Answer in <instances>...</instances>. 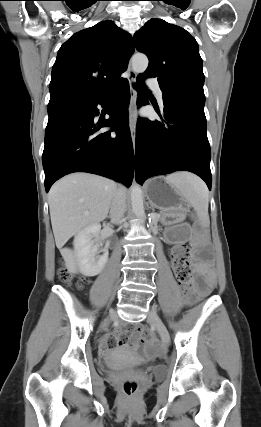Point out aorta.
<instances>
[{"instance_id":"1","label":"aorta","mask_w":261,"mask_h":427,"mask_svg":"<svg viewBox=\"0 0 261 427\" xmlns=\"http://www.w3.org/2000/svg\"><path fill=\"white\" fill-rule=\"evenodd\" d=\"M149 60L146 55L137 53L132 57V69L137 73L144 72L148 67ZM131 204L132 210L138 219H145L144 205H143V193L142 189L134 182L131 186Z\"/></svg>"}]
</instances>
